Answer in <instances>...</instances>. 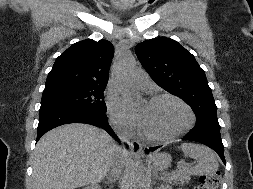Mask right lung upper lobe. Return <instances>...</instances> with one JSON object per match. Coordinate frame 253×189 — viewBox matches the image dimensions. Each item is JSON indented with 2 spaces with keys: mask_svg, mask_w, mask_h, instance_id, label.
I'll return each mask as SVG.
<instances>
[{
  "mask_svg": "<svg viewBox=\"0 0 253 189\" xmlns=\"http://www.w3.org/2000/svg\"><path fill=\"white\" fill-rule=\"evenodd\" d=\"M114 53L107 40L79 41L63 52L48 74L45 89L59 86L106 87Z\"/></svg>",
  "mask_w": 253,
  "mask_h": 189,
  "instance_id": "1",
  "label": "right lung upper lobe"
}]
</instances>
